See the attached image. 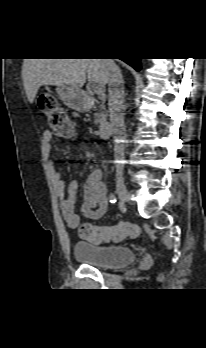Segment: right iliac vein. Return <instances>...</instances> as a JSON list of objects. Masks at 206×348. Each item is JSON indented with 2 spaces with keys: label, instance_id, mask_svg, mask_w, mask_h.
I'll list each match as a JSON object with an SVG mask.
<instances>
[{
  "label": "right iliac vein",
  "instance_id": "obj_1",
  "mask_svg": "<svg viewBox=\"0 0 206 348\" xmlns=\"http://www.w3.org/2000/svg\"><path fill=\"white\" fill-rule=\"evenodd\" d=\"M116 190L121 201L127 202L130 194L126 188L124 180L121 177L116 180Z\"/></svg>",
  "mask_w": 206,
  "mask_h": 348
}]
</instances>
